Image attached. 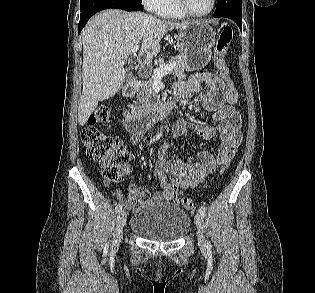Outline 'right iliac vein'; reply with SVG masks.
<instances>
[{"mask_svg":"<svg viewBox=\"0 0 315 293\" xmlns=\"http://www.w3.org/2000/svg\"><path fill=\"white\" fill-rule=\"evenodd\" d=\"M127 215L125 211H120L116 218V231L113 247L117 248L123 239V228L126 224Z\"/></svg>","mask_w":315,"mask_h":293,"instance_id":"obj_1","label":"right iliac vein"}]
</instances>
